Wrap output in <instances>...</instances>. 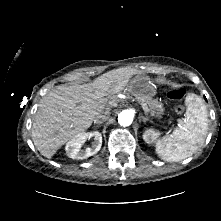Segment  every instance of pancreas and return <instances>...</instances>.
Listing matches in <instances>:
<instances>
[{
	"label": "pancreas",
	"instance_id": "pancreas-1",
	"mask_svg": "<svg viewBox=\"0 0 221 221\" xmlns=\"http://www.w3.org/2000/svg\"><path fill=\"white\" fill-rule=\"evenodd\" d=\"M136 99L140 103H145L148 106L152 116L161 117V115L164 113L163 104L157 99H153L148 95H138L136 96Z\"/></svg>",
	"mask_w": 221,
	"mask_h": 221
}]
</instances>
